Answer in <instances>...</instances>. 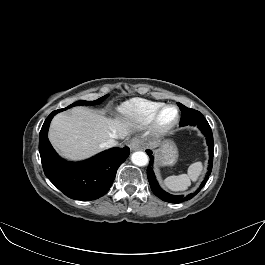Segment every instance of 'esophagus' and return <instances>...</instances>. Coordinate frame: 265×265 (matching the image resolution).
Segmentation results:
<instances>
[{
  "label": "esophagus",
  "instance_id": "34e87169",
  "mask_svg": "<svg viewBox=\"0 0 265 265\" xmlns=\"http://www.w3.org/2000/svg\"><path fill=\"white\" fill-rule=\"evenodd\" d=\"M143 143L140 139L138 138H132L129 142V147L131 150L135 151V150H139L140 148H142Z\"/></svg>",
  "mask_w": 265,
  "mask_h": 265
}]
</instances>
